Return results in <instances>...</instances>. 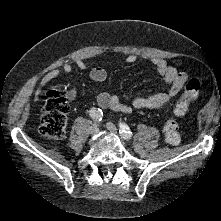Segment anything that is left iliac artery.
I'll return each mask as SVG.
<instances>
[{"label": "left iliac artery", "mask_w": 221, "mask_h": 221, "mask_svg": "<svg viewBox=\"0 0 221 221\" xmlns=\"http://www.w3.org/2000/svg\"><path fill=\"white\" fill-rule=\"evenodd\" d=\"M121 137L125 140H129L132 137V132L126 124H120L119 130Z\"/></svg>", "instance_id": "1"}]
</instances>
